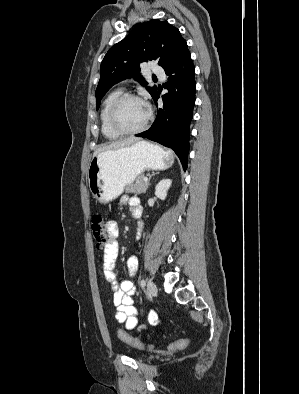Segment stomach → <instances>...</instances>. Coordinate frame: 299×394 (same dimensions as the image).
<instances>
[{"instance_id":"0dacf381","label":"stomach","mask_w":299,"mask_h":394,"mask_svg":"<svg viewBox=\"0 0 299 394\" xmlns=\"http://www.w3.org/2000/svg\"><path fill=\"white\" fill-rule=\"evenodd\" d=\"M174 163L173 154L146 141L100 152L89 164L87 180L96 201L107 203L124 191L145 170H164Z\"/></svg>"}]
</instances>
